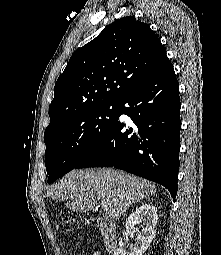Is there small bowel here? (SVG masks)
<instances>
[{"instance_id":"c3829d8e","label":"small bowel","mask_w":221,"mask_h":255,"mask_svg":"<svg viewBox=\"0 0 221 255\" xmlns=\"http://www.w3.org/2000/svg\"><path fill=\"white\" fill-rule=\"evenodd\" d=\"M92 255H101L99 252H94Z\"/></svg>"}]
</instances>
